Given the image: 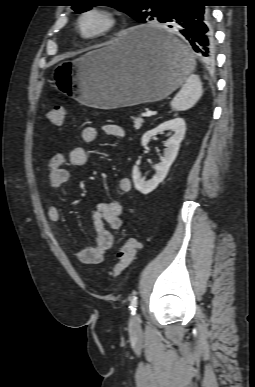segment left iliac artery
Wrapping results in <instances>:
<instances>
[{
  "label": "left iliac artery",
  "instance_id": "44dca946",
  "mask_svg": "<svg viewBox=\"0 0 255 387\" xmlns=\"http://www.w3.org/2000/svg\"><path fill=\"white\" fill-rule=\"evenodd\" d=\"M129 308L131 310V313L135 314L136 309H137V297L136 296H132Z\"/></svg>",
  "mask_w": 255,
  "mask_h": 387
}]
</instances>
